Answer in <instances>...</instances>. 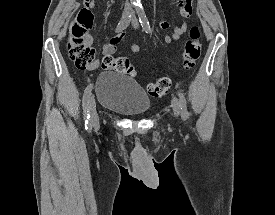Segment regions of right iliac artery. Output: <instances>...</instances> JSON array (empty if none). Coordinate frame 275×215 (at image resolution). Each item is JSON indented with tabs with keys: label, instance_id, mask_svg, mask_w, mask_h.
I'll return each mask as SVG.
<instances>
[{
	"label": "right iliac artery",
	"instance_id": "1",
	"mask_svg": "<svg viewBox=\"0 0 275 215\" xmlns=\"http://www.w3.org/2000/svg\"><path fill=\"white\" fill-rule=\"evenodd\" d=\"M132 16V12H130L129 14H127L126 16H123L122 20L118 23L117 27H116V32H120L122 30H124L131 19ZM92 84L88 85L84 91L83 94V113H84V120H85V128L89 129L91 127V122H90V115H89V110H88V104H89V98L92 95Z\"/></svg>",
	"mask_w": 275,
	"mask_h": 215
}]
</instances>
